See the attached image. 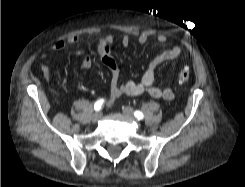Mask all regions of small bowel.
Wrapping results in <instances>:
<instances>
[{
  "label": "small bowel",
  "instance_id": "small-bowel-1",
  "mask_svg": "<svg viewBox=\"0 0 245 187\" xmlns=\"http://www.w3.org/2000/svg\"><path fill=\"white\" fill-rule=\"evenodd\" d=\"M149 40V36L145 33H141L137 37V41L140 44H145ZM160 45L167 43V37L163 34H159L156 38ZM68 42L75 43L77 38H71ZM121 44L124 47L129 46L130 37L128 35H123L120 39ZM114 43V37L112 35H105L101 38L98 48V53L103 65L108 69L110 73V97L109 104H112L116 99L123 95L127 96H138L141 94H148L149 96L162 99V100H172L174 98V92L170 88H159L155 84V75L157 68L163 63L177 59L181 54V49L177 45H173L157 56H155L148 64L142 78L139 82L128 80L126 82H120V69L111 54V45ZM66 45L65 40H58L50 49V55L59 53L64 49ZM91 66V59L88 56H83L78 63L79 70L85 71ZM41 70L48 81H52L53 74L51 68L43 63L41 65Z\"/></svg>",
  "mask_w": 245,
  "mask_h": 187
}]
</instances>
